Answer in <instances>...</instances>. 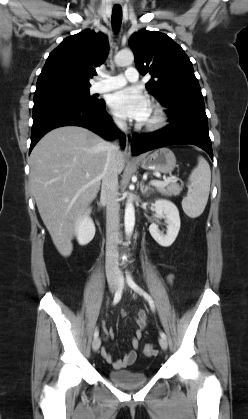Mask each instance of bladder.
<instances>
[{
    "instance_id": "obj_1",
    "label": "bladder",
    "mask_w": 248,
    "mask_h": 419,
    "mask_svg": "<svg viewBox=\"0 0 248 419\" xmlns=\"http://www.w3.org/2000/svg\"><path fill=\"white\" fill-rule=\"evenodd\" d=\"M107 377L117 386L123 388H136L148 381V375L131 369L109 370Z\"/></svg>"
}]
</instances>
